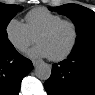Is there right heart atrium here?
<instances>
[{
	"label": "right heart atrium",
	"mask_w": 95,
	"mask_h": 95,
	"mask_svg": "<svg viewBox=\"0 0 95 95\" xmlns=\"http://www.w3.org/2000/svg\"><path fill=\"white\" fill-rule=\"evenodd\" d=\"M5 33L12 46L20 52L35 42V37L31 35L26 25L16 18L6 24Z\"/></svg>",
	"instance_id": "obj_1"
}]
</instances>
